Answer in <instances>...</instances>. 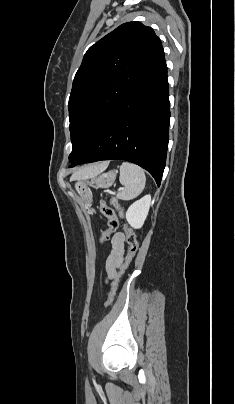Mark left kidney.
<instances>
[{"mask_svg": "<svg viewBox=\"0 0 235 404\" xmlns=\"http://www.w3.org/2000/svg\"><path fill=\"white\" fill-rule=\"evenodd\" d=\"M151 204V196L146 195L135 201L126 212L127 222L134 229H139L143 226Z\"/></svg>", "mask_w": 235, "mask_h": 404, "instance_id": "left-kidney-1", "label": "left kidney"}]
</instances>
